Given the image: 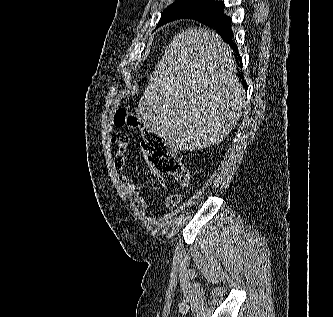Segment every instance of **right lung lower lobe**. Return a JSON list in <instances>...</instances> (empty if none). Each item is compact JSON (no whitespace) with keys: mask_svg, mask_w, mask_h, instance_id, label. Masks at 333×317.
Segmentation results:
<instances>
[{"mask_svg":"<svg viewBox=\"0 0 333 317\" xmlns=\"http://www.w3.org/2000/svg\"><path fill=\"white\" fill-rule=\"evenodd\" d=\"M189 19H194L199 21L211 28H214L218 34L227 42L230 47L236 52L239 56L237 45L233 42V32L231 29V18L224 14V7L220 10L210 12L208 14H200ZM240 57V56H239ZM243 86L247 90V84L243 80Z\"/></svg>","mask_w":333,"mask_h":317,"instance_id":"1","label":"right lung lower lobe"}]
</instances>
